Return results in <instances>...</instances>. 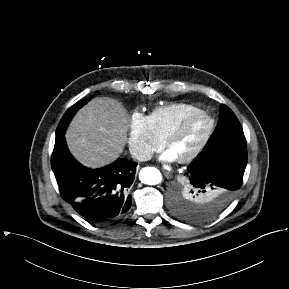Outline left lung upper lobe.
Masks as SVG:
<instances>
[{
  "label": "left lung upper lobe",
  "mask_w": 289,
  "mask_h": 289,
  "mask_svg": "<svg viewBox=\"0 0 289 289\" xmlns=\"http://www.w3.org/2000/svg\"><path fill=\"white\" fill-rule=\"evenodd\" d=\"M235 145L246 146L245 136L235 114L222 104L217 127L202 153ZM211 201L210 195L200 192L183 181L179 190L174 193L172 211L177 217L184 220L206 221L217 215L209 211Z\"/></svg>",
  "instance_id": "1"
}]
</instances>
